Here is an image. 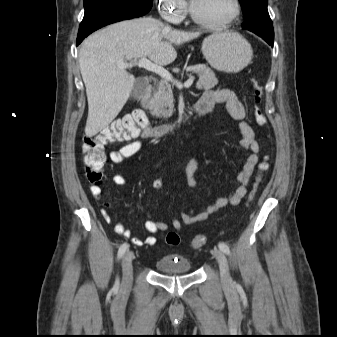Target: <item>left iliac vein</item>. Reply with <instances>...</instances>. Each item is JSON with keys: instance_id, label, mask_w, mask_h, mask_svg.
<instances>
[{"instance_id": "obj_1", "label": "left iliac vein", "mask_w": 337, "mask_h": 337, "mask_svg": "<svg viewBox=\"0 0 337 337\" xmlns=\"http://www.w3.org/2000/svg\"><path fill=\"white\" fill-rule=\"evenodd\" d=\"M212 254L214 255L219 264L222 283L224 284V286H230L232 284V279L229 274V267L226 256L220 250H213Z\"/></svg>"}]
</instances>
